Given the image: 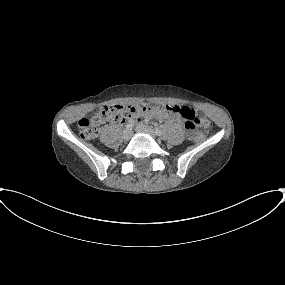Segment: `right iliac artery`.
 Segmentation results:
<instances>
[{
    "label": "right iliac artery",
    "instance_id": "right-iliac-artery-1",
    "mask_svg": "<svg viewBox=\"0 0 285 285\" xmlns=\"http://www.w3.org/2000/svg\"><path fill=\"white\" fill-rule=\"evenodd\" d=\"M133 128V123H129L126 125L127 130H131Z\"/></svg>",
    "mask_w": 285,
    "mask_h": 285
}]
</instances>
